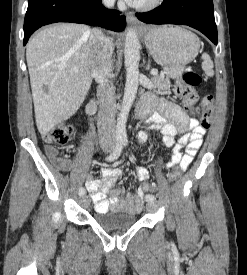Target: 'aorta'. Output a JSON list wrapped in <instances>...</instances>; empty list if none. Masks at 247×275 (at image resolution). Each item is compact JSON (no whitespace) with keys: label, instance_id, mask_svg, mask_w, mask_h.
Instances as JSON below:
<instances>
[{"label":"aorta","instance_id":"obj_1","mask_svg":"<svg viewBox=\"0 0 247 275\" xmlns=\"http://www.w3.org/2000/svg\"><path fill=\"white\" fill-rule=\"evenodd\" d=\"M124 56L126 84L116 124V137L119 140L127 139L126 122L138 89L140 53L139 40L134 29H129L126 33Z\"/></svg>","mask_w":247,"mask_h":275}]
</instances>
